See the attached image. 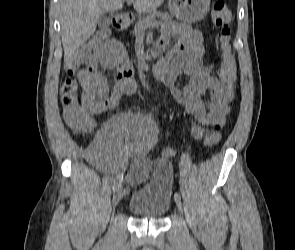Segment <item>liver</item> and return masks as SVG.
Instances as JSON below:
<instances>
[{
  "mask_svg": "<svg viewBox=\"0 0 295 250\" xmlns=\"http://www.w3.org/2000/svg\"><path fill=\"white\" fill-rule=\"evenodd\" d=\"M125 0H60L64 58H69L96 31L98 19L105 13L123 7ZM164 0H133V7L140 13L154 12Z\"/></svg>",
  "mask_w": 295,
  "mask_h": 250,
  "instance_id": "1",
  "label": "liver"
}]
</instances>
